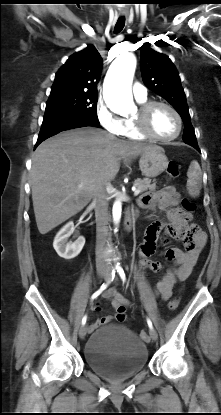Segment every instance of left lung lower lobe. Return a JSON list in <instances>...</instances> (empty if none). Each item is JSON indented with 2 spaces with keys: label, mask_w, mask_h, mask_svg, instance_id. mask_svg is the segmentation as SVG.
<instances>
[{
  "label": "left lung lower lobe",
  "mask_w": 221,
  "mask_h": 415,
  "mask_svg": "<svg viewBox=\"0 0 221 415\" xmlns=\"http://www.w3.org/2000/svg\"><path fill=\"white\" fill-rule=\"evenodd\" d=\"M184 142L191 145V146H193L198 151H200L199 147H198V144H197V140H187V141H184Z\"/></svg>",
  "instance_id": "obj_1"
}]
</instances>
